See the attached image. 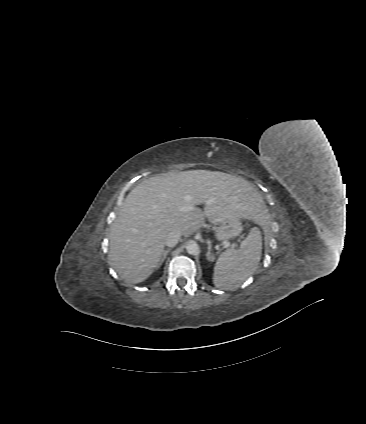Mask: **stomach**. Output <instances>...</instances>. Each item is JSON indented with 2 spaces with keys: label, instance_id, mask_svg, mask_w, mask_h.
<instances>
[{
  "label": "stomach",
  "instance_id": "1",
  "mask_svg": "<svg viewBox=\"0 0 366 424\" xmlns=\"http://www.w3.org/2000/svg\"><path fill=\"white\" fill-rule=\"evenodd\" d=\"M243 230L240 219H234L225 223H221L217 229L215 236L219 241H226L235 238L241 234Z\"/></svg>",
  "mask_w": 366,
  "mask_h": 424
}]
</instances>
